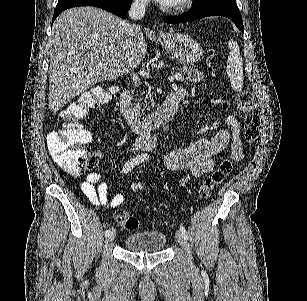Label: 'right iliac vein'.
<instances>
[{
    "instance_id": "63e3f726",
    "label": "right iliac vein",
    "mask_w": 307,
    "mask_h": 301,
    "mask_svg": "<svg viewBox=\"0 0 307 301\" xmlns=\"http://www.w3.org/2000/svg\"><path fill=\"white\" fill-rule=\"evenodd\" d=\"M116 237V230L113 229L112 231H110V234L106 237V243H110L112 242Z\"/></svg>"
}]
</instances>
